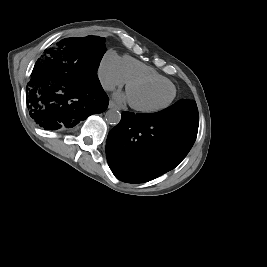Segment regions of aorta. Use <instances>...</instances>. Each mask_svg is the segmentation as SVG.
I'll return each instance as SVG.
<instances>
[{
    "instance_id": "762f6f07",
    "label": "aorta",
    "mask_w": 267,
    "mask_h": 267,
    "mask_svg": "<svg viewBox=\"0 0 267 267\" xmlns=\"http://www.w3.org/2000/svg\"><path fill=\"white\" fill-rule=\"evenodd\" d=\"M105 119L107 123L117 125L121 120V113L117 109H109L105 113Z\"/></svg>"
}]
</instances>
